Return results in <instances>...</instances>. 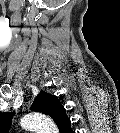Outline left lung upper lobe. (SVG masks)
I'll list each match as a JSON object with an SVG mask.
<instances>
[{
    "instance_id": "left-lung-upper-lobe-1",
    "label": "left lung upper lobe",
    "mask_w": 120,
    "mask_h": 133,
    "mask_svg": "<svg viewBox=\"0 0 120 133\" xmlns=\"http://www.w3.org/2000/svg\"><path fill=\"white\" fill-rule=\"evenodd\" d=\"M31 109L36 112H42L44 114L50 115L57 125H65L68 122V119L65 115V110L59 103L58 99L55 96H51L44 92L39 95L35 103L31 106Z\"/></svg>"
}]
</instances>
